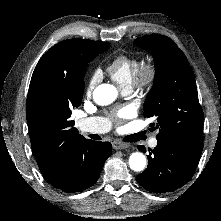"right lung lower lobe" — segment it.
<instances>
[{
    "instance_id": "right-lung-lower-lobe-1",
    "label": "right lung lower lobe",
    "mask_w": 221,
    "mask_h": 221,
    "mask_svg": "<svg viewBox=\"0 0 221 221\" xmlns=\"http://www.w3.org/2000/svg\"><path fill=\"white\" fill-rule=\"evenodd\" d=\"M111 152L110 142L87 140L70 154L63 178L49 183L67 193L83 191L97 181Z\"/></svg>"
}]
</instances>
